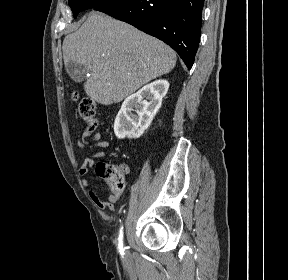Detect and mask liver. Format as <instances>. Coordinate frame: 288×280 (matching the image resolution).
<instances>
[{
  "label": "liver",
  "mask_w": 288,
  "mask_h": 280,
  "mask_svg": "<svg viewBox=\"0 0 288 280\" xmlns=\"http://www.w3.org/2000/svg\"><path fill=\"white\" fill-rule=\"evenodd\" d=\"M62 49L65 64L74 61L90 71L84 90L103 105L121 102L176 65L165 43L97 11L64 38Z\"/></svg>",
  "instance_id": "1"
}]
</instances>
